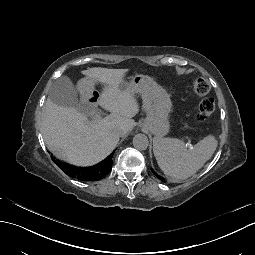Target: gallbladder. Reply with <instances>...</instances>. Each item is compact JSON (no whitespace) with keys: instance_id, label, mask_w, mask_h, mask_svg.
I'll use <instances>...</instances> for the list:
<instances>
[{"instance_id":"1","label":"gallbladder","mask_w":255,"mask_h":255,"mask_svg":"<svg viewBox=\"0 0 255 255\" xmlns=\"http://www.w3.org/2000/svg\"><path fill=\"white\" fill-rule=\"evenodd\" d=\"M48 97L56 105L73 109L83 115L91 114L92 105L79 99L75 85L67 76H61L54 81Z\"/></svg>"}]
</instances>
